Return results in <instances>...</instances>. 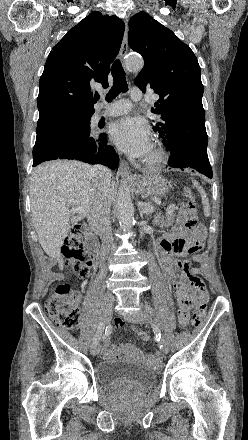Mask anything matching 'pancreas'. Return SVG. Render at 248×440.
<instances>
[{"label":"pancreas","instance_id":"obj_1","mask_svg":"<svg viewBox=\"0 0 248 440\" xmlns=\"http://www.w3.org/2000/svg\"><path fill=\"white\" fill-rule=\"evenodd\" d=\"M174 207H170L167 209L166 213L162 215L160 212H156L152 223L154 225L160 226V227H168L173 224L174 221ZM147 216H151V213H148Z\"/></svg>","mask_w":248,"mask_h":440}]
</instances>
